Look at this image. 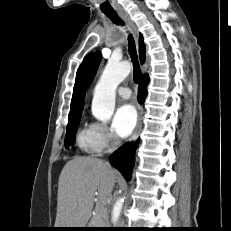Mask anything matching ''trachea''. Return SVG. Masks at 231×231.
<instances>
[{"label": "trachea", "instance_id": "trachea-1", "mask_svg": "<svg viewBox=\"0 0 231 231\" xmlns=\"http://www.w3.org/2000/svg\"><path fill=\"white\" fill-rule=\"evenodd\" d=\"M104 14L114 23L117 25H123V21L119 18V16L117 15L116 12H104ZM129 43H128V50H129V54L131 57V60L133 62V79L136 83H139L142 73L139 67V63H138V58H137V52H136V47H135V43L133 40V37L131 35H129Z\"/></svg>", "mask_w": 231, "mask_h": 231}]
</instances>
